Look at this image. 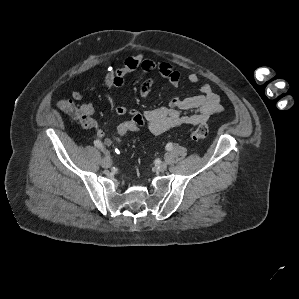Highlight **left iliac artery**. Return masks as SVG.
<instances>
[{
    "mask_svg": "<svg viewBox=\"0 0 299 299\" xmlns=\"http://www.w3.org/2000/svg\"><path fill=\"white\" fill-rule=\"evenodd\" d=\"M172 147H173V144H172V143H168V144L166 145V150H171Z\"/></svg>",
    "mask_w": 299,
    "mask_h": 299,
    "instance_id": "obj_1",
    "label": "left iliac artery"
}]
</instances>
